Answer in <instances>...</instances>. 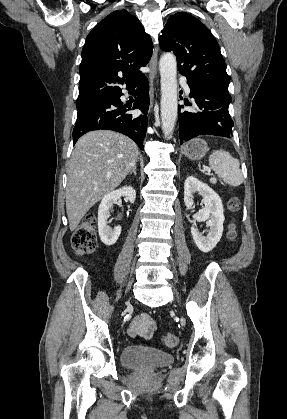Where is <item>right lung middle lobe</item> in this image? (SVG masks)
<instances>
[{"label":"right lung middle lobe","mask_w":287,"mask_h":419,"mask_svg":"<svg viewBox=\"0 0 287 419\" xmlns=\"http://www.w3.org/2000/svg\"><path fill=\"white\" fill-rule=\"evenodd\" d=\"M98 103L99 102L94 103V104H90V105H85V106H77V110H78V114L77 115H80V114L84 113L86 110H88L89 108H91L92 106H94V105H96Z\"/></svg>","instance_id":"dd1d6c3e"}]
</instances>
